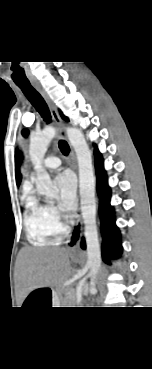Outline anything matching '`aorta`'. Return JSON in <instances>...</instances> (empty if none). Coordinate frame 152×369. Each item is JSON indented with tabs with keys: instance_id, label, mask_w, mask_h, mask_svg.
Masks as SVG:
<instances>
[{
	"instance_id": "obj_1",
	"label": "aorta",
	"mask_w": 152,
	"mask_h": 369,
	"mask_svg": "<svg viewBox=\"0 0 152 369\" xmlns=\"http://www.w3.org/2000/svg\"><path fill=\"white\" fill-rule=\"evenodd\" d=\"M67 137L73 146L79 168V188L81 212L84 222V235L87 249V266L90 269V293L95 294L96 278L101 267V251L96 224L95 176L92 166V155L83 133L74 127L66 129ZM56 135L54 127H45L40 133L30 138L29 155L36 171V188L39 194L48 198L57 196V191L42 160L48 145Z\"/></svg>"
}]
</instances>
